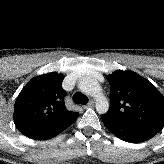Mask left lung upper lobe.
Segmentation results:
<instances>
[{"label":"left lung upper lobe","instance_id":"left-lung-upper-lobe-1","mask_svg":"<svg viewBox=\"0 0 164 164\" xmlns=\"http://www.w3.org/2000/svg\"><path fill=\"white\" fill-rule=\"evenodd\" d=\"M111 84L108 115L130 126L158 133L164 127V96L147 79L132 71L107 76Z\"/></svg>","mask_w":164,"mask_h":164}]
</instances>
